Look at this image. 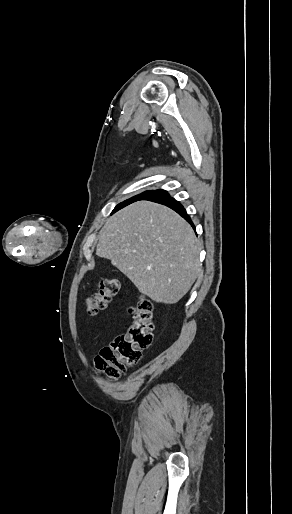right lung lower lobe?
<instances>
[{"mask_svg": "<svg viewBox=\"0 0 292 514\" xmlns=\"http://www.w3.org/2000/svg\"><path fill=\"white\" fill-rule=\"evenodd\" d=\"M141 200L156 202L173 209L179 215H181L187 222H189L195 230V227L192 221L190 220V217L187 216L184 207L178 201L172 198L167 191L162 189L149 191Z\"/></svg>", "mask_w": 292, "mask_h": 514, "instance_id": "98d812e1", "label": "right lung lower lobe"}]
</instances>
